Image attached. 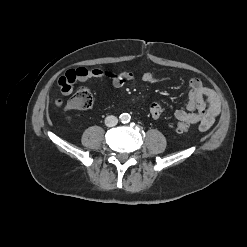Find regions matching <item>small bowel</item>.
<instances>
[{
  "instance_id": "small-bowel-1",
  "label": "small bowel",
  "mask_w": 247,
  "mask_h": 247,
  "mask_svg": "<svg viewBox=\"0 0 247 247\" xmlns=\"http://www.w3.org/2000/svg\"><path fill=\"white\" fill-rule=\"evenodd\" d=\"M92 78L108 79L116 88L122 87L126 81L135 78L132 72L116 73L105 68L87 69L79 67L67 71L59 79V91L62 95H69L74 89L77 82H84ZM142 80L148 84L158 82V78L153 72H146L142 75ZM56 104L62 106L60 99ZM65 112H70L74 108L68 102L63 106ZM150 114L153 118L158 119L164 115L162 106L157 102H152L149 106ZM220 113V101L216 93L203 85L198 78L189 80V101L187 110L178 109L174 112V117L188 125L198 126L201 131L208 130Z\"/></svg>"
}]
</instances>
